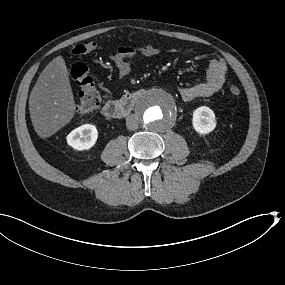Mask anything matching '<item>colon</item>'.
I'll use <instances>...</instances> for the list:
<instances>
[{
	"instance_id": "1",
	"label": "colon",
	"mask_w": 285,
	"mask_h": 285,
	"mask_svg": "<svg viewBox=\"0 0 285 285\" xmlns=\"http://www.w3.org/2000/svg\"><path fill=\"white\" fill-rule=\"evenodd\" d=\"M97 46V43L94 41L77 44L73 47L72 53L75 56L86 55L94 51ZM70 75L80 89L77 112L80 115L87 116L101 106L102 96L96 86L94 77L85 64H74L71 68ZM229 93L236 97L240 95L241 90L238 86L232 85L229 88Z\"/></svg>"
}]
</instances>
